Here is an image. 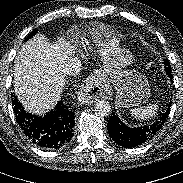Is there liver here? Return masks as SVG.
<instances>
[{
	"instance_id": "1",
	"label": "liver",
	"mask_w": 183,
	"mask_h": 183,
	"mask_svg": "<svg viewBox=\"0 0 183 183\" xmlns=\"http://www.w3.org/2000/svg\"><path fill=\"white\" fill-rule=\"evenodd\" d=\"M102 59L108 63L115 44H99ZM73 46L63 38L56 44L36 34L26 42L15 59V94L26 111L44 114L59 100L65 84L63 67L72 55Z\"/></svg>"
}]
</instances>
